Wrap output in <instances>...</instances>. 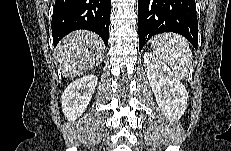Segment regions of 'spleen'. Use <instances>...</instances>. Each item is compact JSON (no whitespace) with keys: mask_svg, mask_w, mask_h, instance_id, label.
<instances>
[{"mask_svg":"<svg viewBox=\"0 0 231 151\" xmlns=\"http://www.w3.org/2000/svg\"><path fill=\"white\" fill-rule=\"evenodd\" d=\"M153 52L172 69L174 75L183 80L192 65V51L188 41L176 33L159 34L152 38Z\"/></svg>","mask_w":231,"mask_h":151,"instance_id":"spleen-1","label":"spleen"}]
</instances>
